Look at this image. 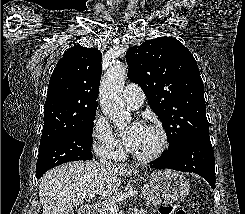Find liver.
Returning <instances> with one entry per match:
<instances>
[{"label":"liver","mask_w":245,"mask_h":214,"mask_svg":"<svg viewBox=\"0 0 245 214\" xmlns=\"http://www.w3.org/2000/svg\"><path fill=\"white\" fill-rule=\"evenodd\" d=\"M137 172L123 165H101L96 161L66 163L47 171L40 179L39 197L43 214H63L80 205L89 193L102 196L115 193L121 181L118 175Z\"/></svg>","instance_id":"6515ba94"}]
</instances>
